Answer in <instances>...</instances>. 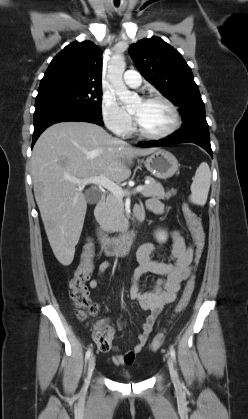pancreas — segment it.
<instances>
[{
    "label": "pancreas",
    "mask_w": 248,
    "mask_h": 419,
    "mask_svg": "<svg viewBox=\"0 0 248 419\" xmlns=\"http://www.w3.org/2000/svg\"><path fill=\"white\" fill-rule=\"evenodd\" d=\"M149 184L143 186L141 194L144 197H157L159 199H169L176 194V190L165 192L161 183L154 178L147 176ZM101 227L107 232H120L127 227V219L124 214V203L122 198L113 194L107 196L103 206V214L100 219Z\"/></svg>",
    "instance_id": "cf45deb5"
}]
</instances>
